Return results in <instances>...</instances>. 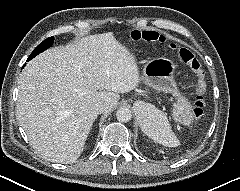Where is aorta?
<instances>
[{"instance_id": "obj_1", "label": "aorta", "mask_w": 240, "mask_h": 191, "mask_svg": "<svg viewBox=\"0 0 240 191\" xmlns=\"http://www.w3.org/2000/svg\"><path fill=\"white\" fill-rule=\"evenodd\" d=\"M147 105L143 106V108H146ZM138 110H142V107H138ZM116 118L119 122H129L132 118V112L129 108L127 107H120L116 111Z\"/></svg>"}]
</instances>
